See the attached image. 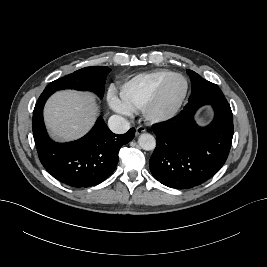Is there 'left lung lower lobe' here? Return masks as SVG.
I'll return each instance as SVG.
<instances>
[{"label": "left lung lower lobe", "instance_id": "obj_1", "mask_svg": "<svg viewBox=\"0 0 267 267\" xmlns=\"http://www.w3.org/2000/svg\"><path fill=\"white\" fill-rule=\"evenodd\" d=\"M214 94L210 90L192 96L178 115L152 126L157 138L149 167L165 186L193 188L224 165L233 137V115L227 100H217ZM206 104L212 105L215 116L208 126L200 127L194 114Z\"/></svg>", "mask_w": 267, "mask_h": 267}]
</instances>
